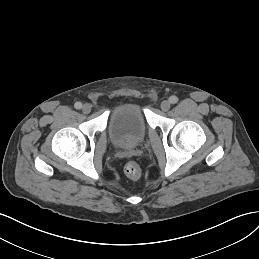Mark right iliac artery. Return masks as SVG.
I'll use <instances>...</instances> for the list:
<instances>
[{
    "label": "right iliac artery",
    "mask_w": 259,
    "mask_h": 259,
    "mask_svg": "<svg viewBox=\"0 0 259 259\" xmlns=\"http://www.w3.org/2000/svg\"><path fill=\"white\" fill-rule=\"evenodd\" d=\"M74 107H75L76 109H81V108H82V103L76 102V103L74 104Z\"/></svg>",
    "instance_id": "right-iliac-artery-1"
}]
</instances>
